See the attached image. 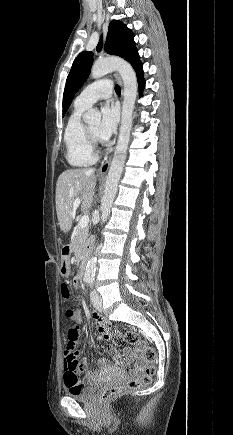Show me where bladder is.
Returning a JSON list of instances; mask_svg holds the SVG:
<instances>
[{"instance_id": "1", "label": "bladder", "mask_w": 233, "mask_h": 435, "mask_svg": "<svg viewBox=\"0 0 233 435\" xmlns=\"http://www.w3.org/2000/svg\"><path fill=\"white\" fill-rule=\"evenodd\" d=\"M100 383L98 381L86 383L85 386L75 392H68V395L78 401H88L96 394Z\"/></svg>"}]
</instances>
